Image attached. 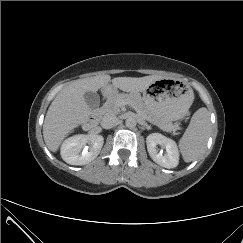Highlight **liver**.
Here are the masks:
<instances>
[{
  "label": "liver",
  "mask_w": 243,
  "mask_h": 243,
  "mask_svg": "<svg viewBox=\"0 0 243 243\" xmlns=\"http://www.w3.org/2000/svg\"><path fill=\"white\" fill-rule=\"evenodd\" d=\"M162 78L158 75L140 78L117 77L112 79V86L134 95L144 92L152 83ZM110 80V75L79 79L57 94L48 108L43 124L44 141L50 151L56 152L63 139L74 128L84 123L91 114L84 94L88 91H98L107 86Z\"/></svg>",
  "instance_id": "1"
}]
</instances>
